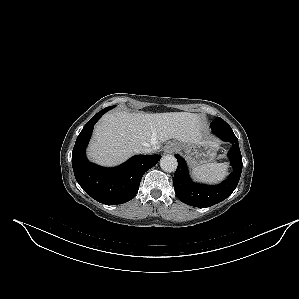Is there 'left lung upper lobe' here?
Listing matches in <instances>:
<instances>
[{"label":"left lung upper lobe","instance_id":"5c2ea615","mask_svg":"<svg viewBox=\"0 0 299 299\" xmlns=\"http://www.w3.org/2000/svg\"><path fill=\"white\" fill-rule=\"evenodd\" d=\"M214 121H224L222 118L218 117Z\"/></svg>","mask_w":299,"mask_h":299}]
</instances>
